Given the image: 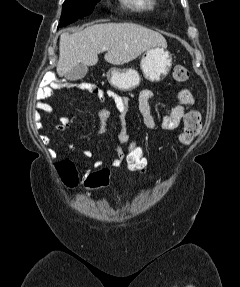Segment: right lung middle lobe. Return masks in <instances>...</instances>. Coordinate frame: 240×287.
<instances>
[{"label":"right lung middle lobe","instance_id":"dd1d6c3e","mask_svg":"<svg viewBox=\"0 0 240 287\" xmlns=\"http://www.w3.org/2000/svg\"><path fill=\"white\" fill-rule=\"evenodd\" d=\"M100 0H65L58 27L66 26L79 18L92 13Z\"/></svg>","mask_w":240,"mask_h":287}]
</instances>
